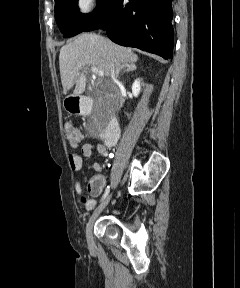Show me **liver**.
<instances>
[{
    "instance_id": "1",
    "label": "liver",
    "mask_w": 240,
    "mask_h": 288,
    "mask_svg": "<svg viewBox=\"0 0 240 288\" xmlns=\"http://www.w3.org/2000/svg\"><path fill=\"white\" fill-rule=\"evenodd\" d=\"M137 60L138 56L130 48L119 46L100 35L82 34L60 50L59 66L64 93L74 85L73 96L85 91L89 67L98 68L109 78L111 64L122 68L135 65Z\"/></svg>"
}]
</instances>
